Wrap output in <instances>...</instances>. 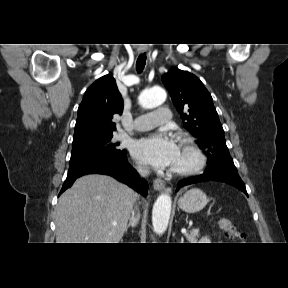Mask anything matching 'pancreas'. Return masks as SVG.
<instances>
[{"label":"pancreas","instance_id":"pancreas-1","mask_svg":"<svg viewBox=\"0 0 288 288\" xmlns=\"http://www.w3.org/2000/svg\"><path fill=\"white\" fill-rule=\"evenodd\" d=\"M185 236L190 243H196L199 237V229H192Z\"/></svg>","mask_w":288,"mask_h":288}]
</instances>
